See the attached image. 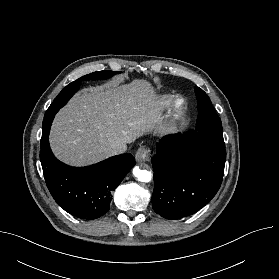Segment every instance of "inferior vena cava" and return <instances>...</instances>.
<instances>
[{
    "label": "inferior vena cava",
    "instance_id": "inferior-vena-cava-1",
    "mask_svg": "<svg viewBox=\"0 0 279 279\" xmlns=\"http://www.w3.org/2000/svg\"><path fill=\"white\" fill-rule=\"evenodd\" d=\"M127 150V147L125 144H113L108 148V154L109 155H118L123 154Z\"/></svg>",
    "mask_w": 279,
    "mask_h": 279
}]
</instances>
